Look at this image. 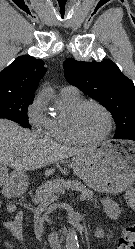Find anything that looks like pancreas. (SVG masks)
<instances>
[{
    "label": "pancreas",
    "instance_id": "cf45deb5",
    "mask_svg": "<svg viewBox=\"0 0 135 249\" xmlns=\"http://www.w3.org/2000/svg\"><path fill=\"white\" fill-rule=\"evenodd\" d=\"M71 182L57 179L52 180L50 182H47L40 186L36 190L35 198L33 199V202L35 204H39L38 208L40 211H43L48 204H50L52 197H57V194L59 191L66 186H70ZM79 191L83 193V195L88 199H93V192L89 190L88 188H85L84 186H78L77 187Z\"/></svg>",
    "mask_w": 135,
    "mask_h": 249
}]
</instances>
